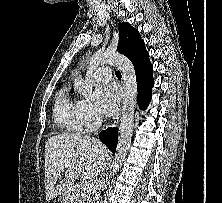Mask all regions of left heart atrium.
<instances>
[{
  "mask_svg": "<svg viewBox=\"0 0 222 203\" xmlns=\"http://www.w3.org/2000/svg\"><path fill=\"white\" fill-rule=\"evenodd\" d=\"M120 91L114 85L99 87L95 92V105L103 115L114 114L120 103Z\"/></svg>",
  "mask_w": 222,
  "mask_h": 203,
  "instance_id": "obj_1",
  "label": "left heart atrium"
}]
</instances>
